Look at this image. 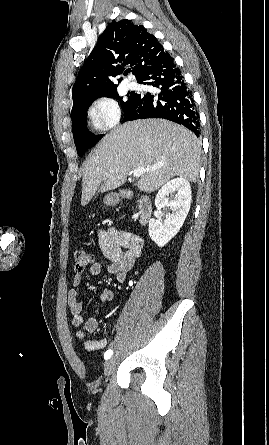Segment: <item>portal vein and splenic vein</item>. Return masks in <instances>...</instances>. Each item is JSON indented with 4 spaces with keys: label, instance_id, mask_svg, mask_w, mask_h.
<instances>
[{
    "label": "portal vein and splenic vein",
    "instance_id": "portal-vein-and-splenic-vein-1",
    "mask_svg": "<svg viewBox=\"0 0 269 445\" xmlns=\"http://www.w3.org/2000/svg\"><path fill=\"white\" fill-rule=\"evenodd\" d=\"M161 165H156V166H152V167H148V168H136L132 171L133 176L138 178L140 177L143 173L148 172V171H153L156 170L158 168H160Z\"/></svg>",
    "mask_w": 269,
    "mask_h": 445
}]
</instances>
